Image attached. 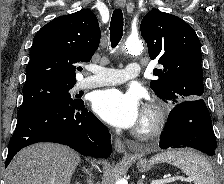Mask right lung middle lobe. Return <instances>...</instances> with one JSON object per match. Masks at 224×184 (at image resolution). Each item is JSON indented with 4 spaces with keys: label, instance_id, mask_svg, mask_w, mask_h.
I'll return each mask as SVG.
<instances>
[{
    "label": "right lung middle lobe",
    "instance_id": "obj_1",
    "mask_svg": "<svg viewBox=\"0 0 224 184\" xmlns=\"http://www.w3.org/2000/svg\"><path fill=\"white\" fill-rule=\"evenodd\" d=\"M74 84L48 81L25 84L22 90L23 103L19 108L17 117L27 110L41 105H76L82 100L73 95L72 88Z\"/></svg>",
    "mask_w": 224,
    "mask_h": 184
}]
</instances>
